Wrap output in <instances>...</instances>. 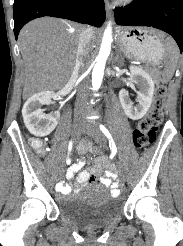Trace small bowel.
<instances>
[{"label": "small bowel", "mask_w": 183, "mask_h": 246, "mask_svg": "<svg viewBox=\"0 0 183 246\" xmlns=\"http://www.w3.org/2000/svg\"><path fill=\"white\" fill-rule=\"evenodd\" d=\"M83 165L84 162L81 160L78 163L70 166L67 170L66 177L68 179H72L76 176L74 187L68 184L64 185L62 184L61 180H58L57 184L51 185V188L60 189L59 191L63 195H68L71 193L77 194L87 183L100 182L107 187L108 191H112L114 195H119L120 187L118 186L117 182H114V180L117 178V174L112 167L106 170L104 175H100V169L98 167L91 170H82Z\"/></svg>", "instance_id": "1"}]
</instances>
